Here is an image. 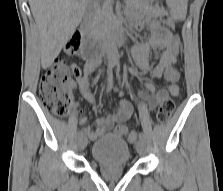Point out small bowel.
Masks as SVG:
<instances>
[{"instance_id":"c3829d8e","label":"small bowel","mask_w":223,"mask_h":191,"mask_svg":"<svg viewBox=\"0 0 223 191\" xmlns=\"http://www.w3.org/2000/svg\"><path fill=\"white\" fill-rule=\"evenodd\" d=\"M160 13L161 9L158 6L151 8L149 18L146 20V24L150 29L149 38L147 41L137 44L133 48V57L140 70H146L148 68L150 50L152 48L158 50L159 62L150 70V76L153 79L163 78L167 83V89H156L151 82H145L144 86L152 94L147 99L149 109H153L168 94L173 96L179 94V87L176 84L179 80V73L175 69V64L177 62L180 39L177 35L161 25L158 19ZM99 62L100 57L94 63L88 61L83 67L82 75L77 79V83L75 84L89 103H94L95 101L94 96L89 91V78L95 72ZM169 66H172V69H169ZM117 91L121 94L119 88H117ZM132 116V105L127 100L120 99L117 104L116 114L101 116L96 121V129L92 130L85 126L82 128V131L90 140H96L108 133L115 124L128 122ZM87 122L88 119L85 117L78 120L80 125H86Z\"/></svg>"}]
</instances>
